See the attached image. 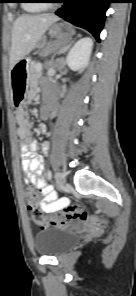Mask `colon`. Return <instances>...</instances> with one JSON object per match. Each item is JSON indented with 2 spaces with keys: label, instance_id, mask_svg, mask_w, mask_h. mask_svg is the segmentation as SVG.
Instances as JSON below:
<instances>
[{
  "label": "colon",
  "instance_id": "1",
  "mask_svg": "<svg viewBox=\"0 0 136 296\" xmlns=\"http://www.w3.org/2000/svg\"><path fill=\"white\" fill-rule=\"evenodd\" d=\"M41 201V192L28 189L26 191V204L35 223L41 226H58L63 225L67 221L79 219L98 226H106L107 221L100 217H92L81 206L69 204L64 206L57 212L44 215L39 207Z\"/></svg>",
  "mask_w": 136,
  "mask_h": 296
}]
</instances>
